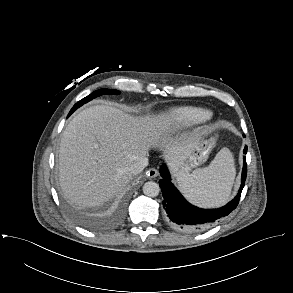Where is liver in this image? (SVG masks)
Returning <instances> with one entry per match:
<instances>
[{
  "instance_id": "obj_1",
  "label": "liver",
  "mask_w": 293,
  "mask_h": 293,
  "mask_svg": "<svg viewBox=\"0 0 293 293\" xmlns=\"http://www.w3.org/2000/svg\"><path fill=\"white\" fill-rule=\"evenodd\" d=\"M169 125L163 116L139 119L108 105L79 112L60 143L59 181L65 196L79 206L103 204L130 182V166L156 147L177 172L200 138L172 139Z\"/></svg>"
}]
</instances>
